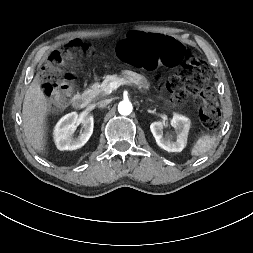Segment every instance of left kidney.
Listing matches in <instances>:
<instances>
[{
	"instance_id": "5707ae66",
	"label": "left kidney",
	"mask_w": 253,
	"mask_h": 253,
	"mask_svg": "<svg viewBox=\"0 0 253 253\" xmlns=\"http://www.w3.org/2000/svg\"><path fill=\"white\" fill-rule=\"evenodd\" d=\"M170 124L175 129V134L163 136V128L167 126V122L165 121L153 122L150 125V129L156 139V143L162 149L168 152H181L187 144L190 120L185 116L175 113Z\"/></svg>"
}]
</instances>
